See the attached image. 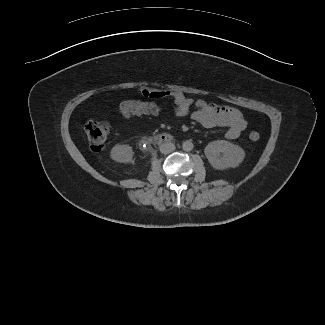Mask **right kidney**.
Wrapping results in <instances>:
<instances>
[{"mask_svg":"<svg viewBox=\"0 0 325 325\" xmlns=\"http://www.w3.org/2000/svg\"><path fill=\"white\" fill-rule=\"evenodd\" d=\"M111 158L120 163H128L132 161L133 150L127 144H117L111 150Z\"/></svg>","mask_w":325,"mask_h":325,"instance_id":"obj_1","label":"right kidney"}]
</instances>
